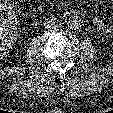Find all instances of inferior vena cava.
Listing matches in <instances>:
<instances>
[{
  "mask_svg": "<svg viewBox=\"0 0 113 113\" xmlns=\"http://www.w3.org/2000/svg\"><path fill=\"white\" fill-rule=\"evenodd\" d=\"M43 26L45 27V29H48V30L57 29L61 26V22L58 18L51 16V17H47L44 20Z\"/></svg>",
  "mask_w": 113,
  "mask_h": 113,
  "instance_id": "1",
  "label": "inferior vena cava"
}]
</instances>
